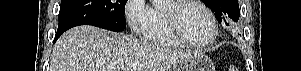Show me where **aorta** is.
<instances>
[{
    "label": "aorta",
    "instance_id": "762f6f07",
    "mask_svg": "<svg viewBox=\"0 0 301 71\" xmlns=\"http://www.w3.org/2000/svg\"><path fill=\"white\" fill-rule=\"evenodd\" d=\"M152 3H153L155 6L159 7V6H162V5L165 4V0H152Z\"/></svg>",
    "mask_w": 301,
    "mask_h": 71
}]
</instances>
